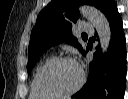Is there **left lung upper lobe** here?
<instances>
[{"label":"left lung upper lobe","instance_id":"5c2ea615","mask_svg":"<svg viewBox=\"0 0 128 99\" xmlns=\"http://www.w3.org/2000/svg\"><path fill=\"white\" fill-rule=\"evenodd\" d=\"M105 0H54L39 14L31 32L28 48V74L40 55L49 47L67 40L84 55L86 52L72 37V23L79 18L78 6L87 4L102 10Z\"/></svg>","mask_w":128,"mask_h":99}]
</instances>
